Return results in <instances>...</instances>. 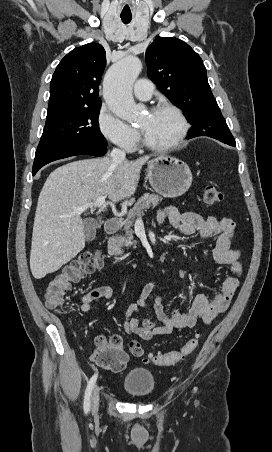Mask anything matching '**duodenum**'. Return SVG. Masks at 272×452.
I'll return each instance as SVG.
<instances>
[{
	"label": "duodenum",
	"mask_w": 272,
	"mask_h": 452,
	"mask_svg": "<svg viewBox=\"0 0 272 452\" xmlns=\"http://www.w3.org/2000/svg\"><path fill=\"white\" fill-rule=\"evenodd\" d=\"M119 227L120 222L117 218H111L105 223V229L110 236L108 241V250L110 255L117 259H127L128 257L119 246L115 236L119 230Z\"/></svg>",
	"instance_id": "duodenum-1"
}]
</instances>
